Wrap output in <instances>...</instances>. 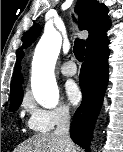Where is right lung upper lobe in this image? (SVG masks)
<instances>
[{"instance_id": "obj_1", "label": "right lung upper lobe", "mask_w": 123, "mask_h": 152, "mask_svg": "<svg viewBox=\"0 0 123 152\" xmlns=\"http://www.w3.org/2000/svg\"><path fill=\"white\" fill-rule=\"evenodd\" d=\"M75 10L80 16L79 27L89 32V36L86 39V51L107 39L106 31L111 26V23L109 22V18L107 16L108 9L104 4H99L97 0H78ZM40 32V26L35 24L30 29L23 42L21 51L16 61L14 78L11 82V95L22 90L21 83L23 82V79L20 74V62L24 56L23 49L29 47L30 44L39 36Z\"/></svg>"}]
</instances>
